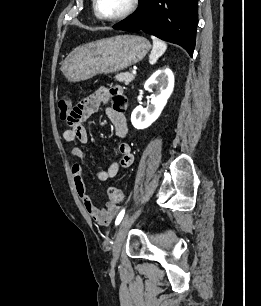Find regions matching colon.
Returning a JSON list of instances; mask_svg holds the SVG:
<instances>
[{
  "instance_id": "colon-1",
  "label": "colon",
  "mask_w": 261,
  "mask_h": 306,
  "mask_svg": "<svg viewBox=\"0 0 261 306\" xmlns=\"http://www.w3.org/2000/svg\"><path fill=\"white\" fill-rule=\"evenodd\" d=\"M59 116L62 120H67L72 112V101L69 97L63 96L58 101ZM109 198L114 203H119L123 199L120 189L110 188L108 191Z\"/></svg>"
}]
</instances>
